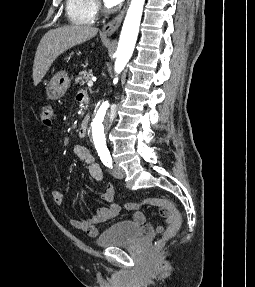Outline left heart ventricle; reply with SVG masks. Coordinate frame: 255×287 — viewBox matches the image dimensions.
Masks as SVG:
<instances>
[{"label":"left heart ventricle","mask_w":255,"mask_h":287,"mask_svg":"<svg viewBox=\"0 0 255 287\" xmlns=\"http://www.w3.org/2000/svg\"><path fill=\"white\" fill-rule=\"evenodd\" d=\"M110 48H127V47H110Z\"/></svg>","instance_id":"obj_1"}]
</instances>
